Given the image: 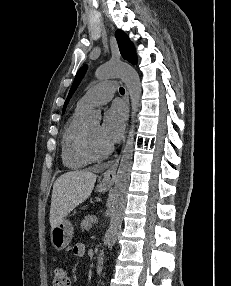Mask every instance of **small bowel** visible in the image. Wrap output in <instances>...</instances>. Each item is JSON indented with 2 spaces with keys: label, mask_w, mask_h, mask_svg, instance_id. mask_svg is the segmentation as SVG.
Wrapping results in <instances>:
<instances>
[{
  "label": "small bowel",
  "mask_w": 231,
  "mask_h": 286,
  "mask_svg": "<svg viewBox=\"0 0 231 286\" xmlns=\"http://www.w3.org/2000/svg\"><path fill=\"white\" fill-rule=\"evenodd\" d=\"M73 253L77 257H82L85 253V245L82 243L76 244L73 247Z\"/></svg>",
  "instance_id": "obj_1"
}]
</instances>
